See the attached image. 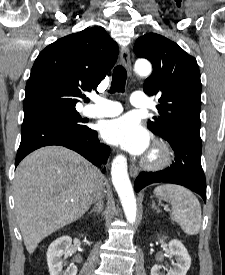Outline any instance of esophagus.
Instances as JSON below:
<instances>
[{"instance_id": "esophagus-1", "label": "esophagus", "mask_w": 225, "mask_h": 275, "mask_svg": "<svg viewBox=\"0 0 225 275\" xmlns=\"http://www.w3.org/2000/svg\"><path fill=\"white\" fill-rule=\"evenodd\" d=\"M120 58L123 66L126 68L129 77H131V59L129 49L127 47H122L120 50ZM139 173L138 168L135 165L130 166V174L135 177Z\"/></svg>"}]
</instances>
